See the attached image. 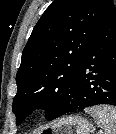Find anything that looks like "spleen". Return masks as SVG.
<instances>
[{"label":"spleen","mask_w":116,"mask_h":134,"mask_svg":"<svg viewBox=\"0 0 116 134\" xmlns=\"http://www.w3.org/2000/svg\"><path fill=\"white\" fill-rule=\"evenodd\" d=\"M89 113L96 124L99 125L105 134H116V108L100 105L85 109Z\"/></svg>","instance_id":"3e777b00"}]
</instances>
